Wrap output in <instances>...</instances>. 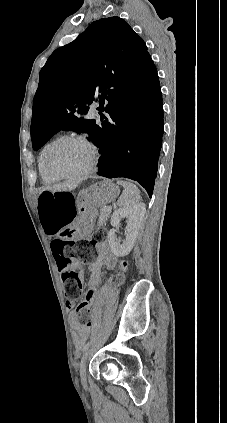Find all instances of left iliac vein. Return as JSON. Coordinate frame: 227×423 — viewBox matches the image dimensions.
Masks as SVG:
<instances>
[{
	"label": "left iliac vein",
	"mask_w": 227,
	"mask_h": 423,
	"mask_svg": "<svg viewBox=\"0 0 227 423\" xmlns=\"http://www.w3.org/2000/svg\"><path fill=\"white\" fill-rule=\"evenodd\" d=\"M91 347H88L86 349L84 355L82 356L81 362H80V379L83 387L87 386V379H86V371H87V360L89 357V354L91 352Z\"/></svg>",
	"instance_id": "1"
}]
</instances>
